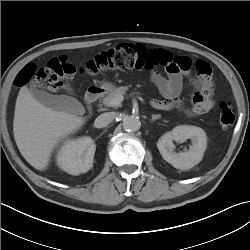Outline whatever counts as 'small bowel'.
Returning <instances> with one entry per match:
<instances>
[{
	"label": "small bowel",
	"mask_w": 250,
	"mask_h": 250,
	"mask_svg": "<svg viewBox=\"0 0 250 250\" xmlns=\"http://www.w3.org/2000/svg\"><path fill=\"white\" fill-rule=\"evenodd\" d=\"M184 74L189 77V81L193 86H197L202 79L209 77V74L206 72H202L199 75H192L189 66L184 69ZM184 74L182 72L170 73L168 78H165L158 72L153 71L151 73V81L157 86L165 98V100H156L159 103V109L184 110L188 117H198L208 113L214 105V100L209 93L205 95L203 101L193 103L190 109H184L183 101L180 98Z\"/></svg>",
	"instance_id": "1"
}]
</instances>
